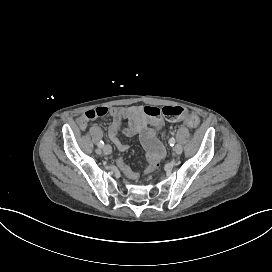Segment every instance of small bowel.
<instances>
[{"mask_svg":"<svg viewBox=\"0 0 272 272\" xmlns=\"http://www.w3.org/2000/svg\"><path fill=\"white\" fill-rule=\"evenodd\" d=\"M145 107L140 105H132L127 107H112L109 110L111 122L108 125V136L120 152H126L128 146L119 140L121 126L126 121V126L122 132L127 137L139 136L144 145L148 156L149 164L145 168L144 173H150L151 165L157 166L159 160L164 156V148L158 140V129L162 126L163 121L160 117L149 120L144 115ZM185 121L184 118H179ZM187 124V123H186ZM122 170L125 176L131 181H137L140 174L126 165H122Z\"/></svg>","mask_w":272,"mask_h":272,"instance_id":"small-bowel-1","label":"small bowel"}]
</instances>
